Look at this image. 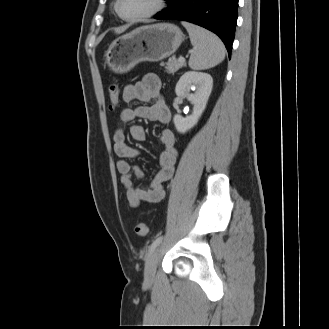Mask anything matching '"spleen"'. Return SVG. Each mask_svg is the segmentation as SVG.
Segmentation results:
<instances>
[{
    "mask_svg": "<svg viewBox=\"0 0 329 329\" xmlns=\"http://www.w3.org/2000/svg\"><path fill=\"white\" fill-rule=\"evenodd\" d=\"M182 25L188 31L194 48L189 59L191 69H209L224 60L225 47L215 34L188 22H182Z\"/></svg>",
    "mask_w": 329,
    "mask_h": 329,
    "instance_id": "obj_1",
    "label": "spleen"
}]
</instances>
